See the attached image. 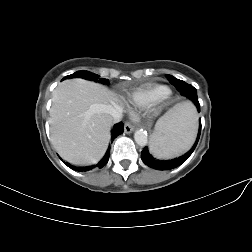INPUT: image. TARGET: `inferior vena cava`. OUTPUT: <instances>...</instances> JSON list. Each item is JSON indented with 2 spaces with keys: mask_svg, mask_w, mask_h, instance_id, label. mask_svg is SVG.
I'll list each match as a JSON object with an SVG mask.
<instances>
[{
  "mask_svg": "<svg viewBox=\"0 0 252 252\" xmlns=\"http://www.w3.org/2000/svg\"><path fill=\"white\" fill-rule=\"evenodd\" d=\"M106 112L112 117L113 123L120 122L123 117L121 109L112 105L106 107Z\"/></svg>",
  "mask_w": 252,
  "mask_h": 252,
  "instance_id": "obj_1",
  "label": "inferior vena cava"
}]
</instances>
